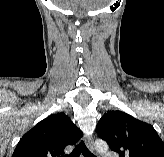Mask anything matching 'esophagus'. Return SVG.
Returning <instances> with one entry per match:
<instances>
[{
  "label": "esophagus",
  "mask_w": 164,
  "mask_h": 157,
  "mask_svg": "<svg viewBox=\"0 0 164 157\" xmlns=\"http://www.w3.org/2000/svg\"><path fill=\"white\" fill-rule=\"evenodd\" d=\"M85 143L89 150L94 153V144H93V138L91 136H86L85 137Z\"/></svg>",
  "instance_id": "1"
}]
</instances>
